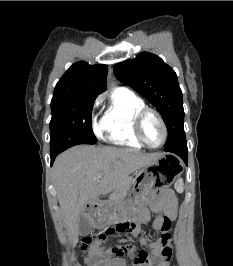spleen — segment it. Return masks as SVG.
I'll list each match as a JSON object with an SVG mask.
<instances>
[{
    "label": "spleen",
    "instance_id": "spleen-1",
    "mask_svg": "<svg viewBox=\"0 0 233 266\" xmlns=\"http://www.w3.org/2000/svg\"><path fill=\"white\" fill-rule=\"evenodd\" d=\"M175 189L177 192L182 193L183 192V180L180 178L175 183Z\"/></svg>",
    "mask_w": 233,
    "mask_h": 266
}]
</instances>
